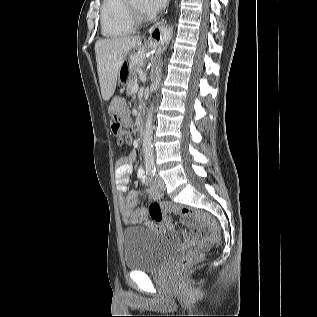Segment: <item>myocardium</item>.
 <instances>
[{"label": "myocardium", "mask_w": 317, "mask_h": 317, "mask_svg": "<svg viewBox=\"0 0 317 317\" xmlns=\"http://www.w3.org/2000/svg\"><path fill=\"white\" fill-rule=\"evenodd\" d=\"M127 7L129 14L131 16L132 21L134 22L135 25H143L148 21V16H146L143 12L138 10L132 5L131 0H127Z\"/></svg>", "instance_id": "myocardium-1"}]
</instances>
